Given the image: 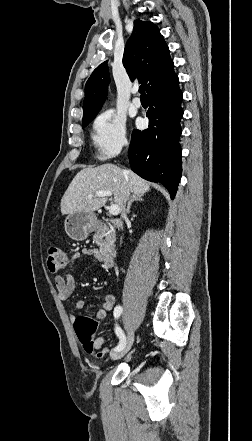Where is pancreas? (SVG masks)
<instances>
[{
  "label": "pancreas",
  "instance_id": "1",
  "mask_svg": "<svg viewBox=\"0 0 252 441\" xmlns=\"http://www.w3.org/2000/svg\"><path fill=\"white\" fill-rule=\"evenodd\" d=\"M104 238V239H103ZM94 240L100 245L99 259L105 258L108 253L114 248L116 240V233L110 229L106 224H101L98 227L97 233L94 235Z\"/></svg>",
  "mask_w": 252,
  "mask_h": 441
}]
</instances>
